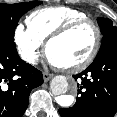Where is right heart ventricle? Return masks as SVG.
Segmentation results:
<instances>
[{
	"mask_svg": "<svg viewBox=\"0 0 117 117\" xmlns=\"http://www.w3.org/2000/svg\"><path fill=\"white\" fill-rule=\"evenodd\" d=\"M88 16L78 10L67 6L44 7L33 11L27 18L28 30L41 42L47 40L62 26Z\"/></svg>",
	"mask_w": 117,
	"mask_h": 117,
	"instance_id": "obj_1",
	"label": "right heart ventricle"
}]
</instances>
